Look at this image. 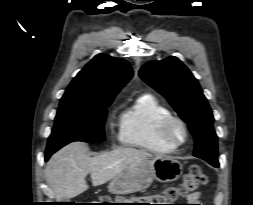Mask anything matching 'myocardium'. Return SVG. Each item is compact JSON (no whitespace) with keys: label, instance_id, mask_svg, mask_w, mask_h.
<instances>
[{"label":"myocardium","instance_id":"1","mask_svg":"<svg viewBox=\"0 0 253 205\" xmlns=\"http://www.w3.org/2000/svg\"><path fill=\"white\" fill-rule=\"evenodd\" d=\"M178 126L181 129L182 136L179 139L174 138L173 128ZM159 137L168 146L177 148L183 145L188 138V128L186 123L179 117L170 116L166 118L159 127Z\"/></svg>","mask_w":253,"mask_h":205}]
</instances>
